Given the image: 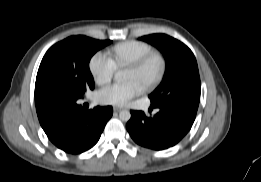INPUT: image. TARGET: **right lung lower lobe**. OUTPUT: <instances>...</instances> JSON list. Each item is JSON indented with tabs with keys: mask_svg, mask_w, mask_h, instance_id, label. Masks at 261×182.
<instances>
[{
	"mask_svg": "<svg viewBox=\"0 0 261 182\" xmlns=\"http://www.w3.org/2000/svg\"><path fill=\"white\" fill-rule=\"evenodd\" d=\"M36 111L51 142L71 154L93 147L113 114L111 106L87 110L76 100L60 97L36 104Z\"/></svg>",
	"mask_w": 261,
	"mask_h": 182,
	"instance_id": "1",
	"label": "right lung lower lobe"
}]
</instances>
